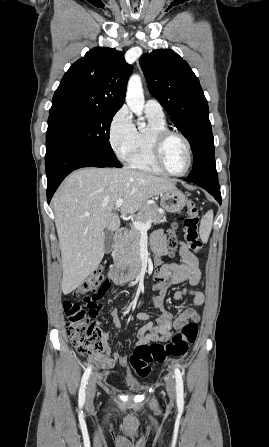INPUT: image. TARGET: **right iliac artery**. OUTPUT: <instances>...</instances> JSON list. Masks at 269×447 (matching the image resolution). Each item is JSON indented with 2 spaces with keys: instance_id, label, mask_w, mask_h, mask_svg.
Listing matches in <instances>:
<instances>
[{
  "instance_id": "right-iliac-artery-1",
  "label": "right iliac artery",
  "mask_w": 269,
  "mask_h": 447,
  "mask_svg": "<svg viewBox=\"0 0 269 447\" xmlns=\"http://www.w3.org/2000/svg\"><path fill=\"white\" fill-rule=\"evenodd\" d=\"M91 373V367H88L82 377L81 380V386H80V390H79V406L82 407L84 405L85 402V397H86V385L88 383V378L90 376Z\"/></svg>"
}]
</instances>
